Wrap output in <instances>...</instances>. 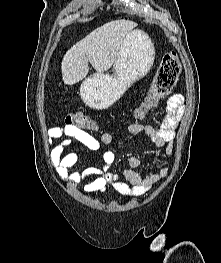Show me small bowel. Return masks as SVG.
<instances>
[{
	"instance_id": "small-bowel-1",
	"label": "small bowel",
	"mask_w": 221,
	"mask_h": 263,
	"mask_svg": "<svg viewBox=\"0 0 221 263\" xmlns=\"http://www.w3.org/2000/svg\"><path fill=\"white\" fill-rule=\"evenodd\" d=\"M184 98L181 94L172 95L166 105V116L158 127L131 123L124 129L129 134L143 133L157 148H164L167 156L174 153V139L176 129L183 116ZM50 142L60 139L59 144L53 148L54 162L57 163V172L65 182L78 186L86 183L80 190L87 194L104 192L112 187L118 194L129 197H141L157 182L163 179L170 170V165L156 168L143 175L137 171L140 160L131 156L127 160V166L121 175L111 172L115 155L111 151L102 152V165L100 167H88L82 171L69 172L79 160L80 152L65 153V148L73 143H80L90 151H101L102 146L112 141L110 133H103L100 139H96L87 132L71 127H55L50 130Z\"/></svg>"
}]
</instances>
